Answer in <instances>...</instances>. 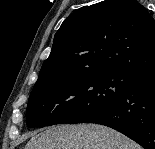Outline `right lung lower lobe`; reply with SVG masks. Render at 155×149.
<instances>
[{"label": "right lung lower lobe", "instance_id": "1", "mask_svg": "<svg viewBox=\"0 0 155 149\" xmlns=\"http://www.w3.org/2000/svg\"><path fill=\"white\" fill-rule=\"evenodd\" d=\"M116 129L155 149V71L138 74L129 90L91 121Z\"/></svg>", "mask_w": 155, "mask_h": 149}]
</instances>
